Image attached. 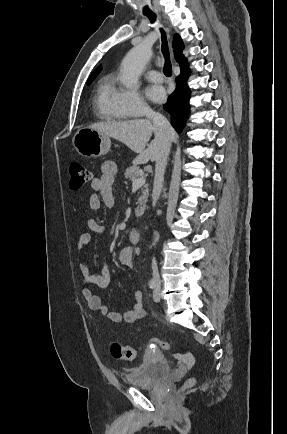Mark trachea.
<instances>
[{
	"mask_svg": "<svg viewBox=\"0 0 287 434\" xmlns=\"http://www.w3.org/2000/svg\"><path fill=\"white\" fill-rule=\"evenodd\" d=\"M145 15L149 18L151 23L155 22V20H156L155 14L151 13V14H145ZM161 38H162V54L165 58V64H164L163 72L167 77H171L172 67H171V63L169 61L168 42H167L166 34L162 29H161Z\"/></svg>",
	"mask_w": 287,
	"mask_h": 434,
	"instance_id": "1",
	"label": "trachea"
}]
</instances>
